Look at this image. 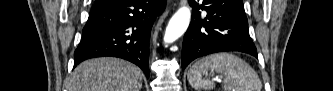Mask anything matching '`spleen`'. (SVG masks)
Masks as SVG:
<instances>
[{"instance_id": "1", "label": "spleen", "mask_w": 333, "mask_h": 91, "mask_svg": "<svg viewBox=\"0 0 333 91\" xmlns=\"http://www.w3.org/2000/svg\"><path fill=\"white\" fill-rule=\"evenodd\" d=\"M211 70L224 77L225 91H261L262 82L255 70L238 56L222 52L212 54L195 62L189 69L187 79L196 91H210L215 87L212 80L203 78Z\"/></svg>"}]
</instances>
